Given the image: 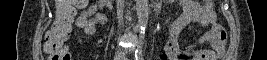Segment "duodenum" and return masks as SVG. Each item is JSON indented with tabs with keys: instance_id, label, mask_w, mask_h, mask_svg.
<instances>
[{
	"instance_id": "1",
	"label": "duodenum",
	"mask_w": 267,
	"mask_h": 60,
	"mask_svg": "<svg viewBox=\"0 0 267 60\" xmlns=\"http://www.w3.org/2000/svg\"><path fill=\"white\" fill-rule=\"evenodd\" d=\"M104 2H105V3H110V4H111V2H112V1L105 0ZM160 11H161V9H159V8H158V9H156V13H157V14H159V13H160Z\"/></svg>"
}]
</instances>
